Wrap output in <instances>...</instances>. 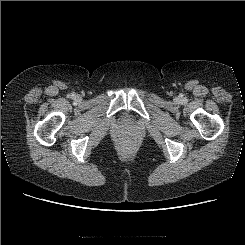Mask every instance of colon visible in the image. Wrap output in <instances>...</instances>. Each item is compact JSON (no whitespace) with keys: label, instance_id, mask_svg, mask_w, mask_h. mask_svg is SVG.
Listing matches in <instances>:
<instances>
[{"label":"colon","instance_id":"colon-1","mask_svg":"<svg viewBox=\"0 0 245 245\" xmlns=\"http://www.w3.org/2000/svg\"><path fill=\"white\" fill-rule=\"evenodd\" d=\"M130 141H125V145H130Z\"/></svg>","mask_w":245,"mask_h":245}]
</instances>
